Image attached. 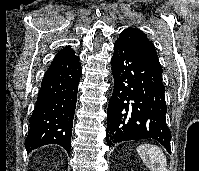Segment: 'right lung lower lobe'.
<instances>
[{
	"label": "right lung lower lobe",
	"mask_w": 199,
	"mask_h": 171,
	"mask_svg": "<svg viewBox=\"0 0 199 171\" xmlns=\"http://www.w3.org/2000/svg\"><path fill=\"white\" fill-rule=\"evenodd\" d=\"M81 65L76 55L56 56L46 71L38 93L30 129L25 141L27 151L47 144L71 148Z\"/></svg>",
	"instance_id": "98d812e1"
}]
</instances>
